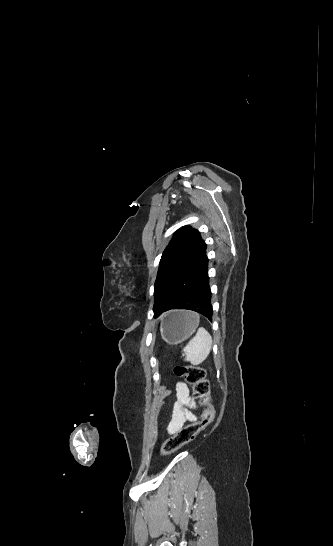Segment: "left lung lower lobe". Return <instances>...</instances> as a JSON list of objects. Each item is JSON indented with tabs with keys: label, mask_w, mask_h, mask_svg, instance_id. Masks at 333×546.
I'll use <instances>...</instances> for the list:
<instances>
[{
	"label": "left lung lower lobe",
	"mask_w": 333,
	"mask_h": 546,
	"mask_svg": "<svg viewBox=\"0 0 333 546\" xmlns=\"http://www.w3.org/2000/svg\"><path fill=\"white\" fill-rule=\"evenodd\" d=\"M211 289L208 258L204 243L200 254L174 279L170 285L160 314L171 309L196 311L212 321Z\"/></svg>",
	"instance_id": "left-lung-lower-lobe-1"
}]
</instances>
